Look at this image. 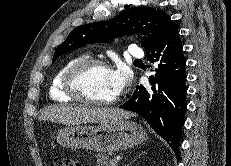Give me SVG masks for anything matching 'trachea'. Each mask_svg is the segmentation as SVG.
<instances>
[{"mask_svg":"<svg viewBox=\"0 0 231 166\" xmlns=\"http://www.w3.org/2000/svg\"><path fill=\"white\" fill-rule=\"evenodd\" d=\"M135 61H141L140 59H136Z\"/></svg>","mask_w":231,"mask_h":166,"instance_id":"trachea-1","label":"trachea"}]
</instances>
